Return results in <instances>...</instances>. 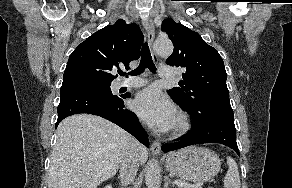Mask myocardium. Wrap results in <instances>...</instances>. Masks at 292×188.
I'll list each match as a JSON object with an SVG mask.
<instances>
[{
    "instance_id": "myocardium-1",
    "label": "myocardium",
    "mask_w": 292,
    "mask_h": 188,
    "mask_svg": "<svg viewBox=\"0 0 292 188\" xmlns=\"http://www.w3.org/2000/svg\"><path fill=\"white\" fill-rule=\"evenodd\" d=\"M190 129V121L187 115L179 113L170 128V135L172 137H179L187 133Z\"/></svg>"
}]
</instances>
